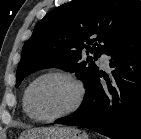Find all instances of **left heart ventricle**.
Returning <instances> with one entry per match:
<instances>
[{"mask_svg": "<svg viewBox=\"0 0 141 139\" xmlns=\"http://www.w3.org/2000/svg\"><path fill=\"white\" fill-rule=\"evenodd\" d=\"M76 89L67 79L47 77L32 89L30 106L33 113L42 118L52 117L66 110L75 100Z\"/></svg>", "mask_w": 141, "mask_h": 139, "instance_id": "1", "label": "left heart ventricle"}]
</instances>
